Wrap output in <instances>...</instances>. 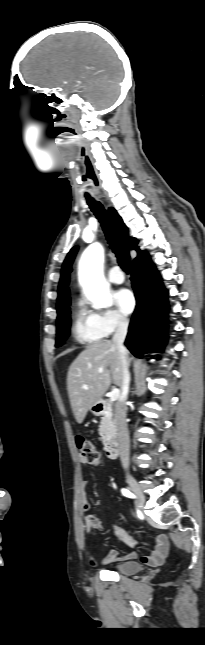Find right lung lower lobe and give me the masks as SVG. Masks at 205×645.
<instances>
[{
    "instance_id": "right-lung-lower-lobe-1",
    "label": "right lung lower lobe",
    "mask_w": 205,
    "mask_h": 645,
    "mask_svg": "<svg viewBox=\"0 0 205 645\" xmlns=\"http://www.w3.org/2000/svg\"><path fill=\"white\" fill-rule=\"evenodd\" d=\"M137 305L125 345L136 356L162 351L167 336L168 291L149 256L132 265Z\"/></svg>"
}]
</instances>
